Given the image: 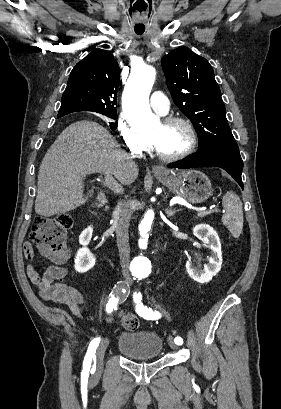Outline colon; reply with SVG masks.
I'll use <instances>...</instances> for the list:
<instances>
[{"label":"colon","instance_id":"colon-1","mask_svg":"<svg viewBox=\"0 0 281 409\" xmlns=\"http://www.w3.org/2000/svg\"><path fill=\"white\" fill-rule=\"evenodd\" d=\"M72 224V217L65 213L37 216L30 236L31 246L26 249H39L57 263L64 264L70 255L65 233ZM119 322L128 330H136L140 324L137 316L131 313H122Z\"/></svg>","mask_w":281,"mask_h":409}]
</instances>
